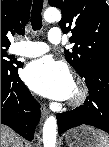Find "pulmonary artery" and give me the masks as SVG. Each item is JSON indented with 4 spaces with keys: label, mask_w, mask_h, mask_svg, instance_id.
I'll return each instance as SVG.
<instances>
[{
    "label": "pulmonary artery",
    "mask_w": 109,
    "mask_h": 147,
    "mask_svg": "<svg viewBox=\"0 0 109 147\" xmlns=\"http://www.w3.org/2000/svg\"><path fill=\"white\" fill-rule=\"evenodd\" d=\"M62 38L63 35L60 31H53L47 35L48 41L54 44L60 43ZM48 51V45L44 42L39 41H21L12 47V52L14 54L27 58L38 57L47 53Z\"/></svg>",
    "instance_id": "obj_1"
}]
</instances>
